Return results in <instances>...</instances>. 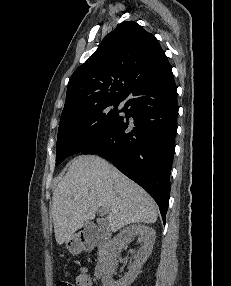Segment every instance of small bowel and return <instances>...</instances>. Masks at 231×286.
<instances>
[{
  "mask_svg": "<svg viewBox=\"0 0 231 286\" xmlns=\"http://www.w3.org/2000/svg\"><path fill=\"white\" fill-rule=\"evenodd\" d=\"M92 285V279L87 274L85 269H81V272L76 278V286H91Z\"/></svg>",
  "mask_w": 231,
  "mask_h": 286,
  "instance_id": "small-bowel-1",
  "label": "small bowel"
}]
</instances>
